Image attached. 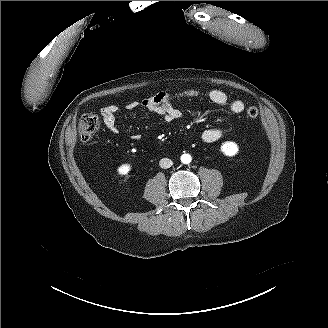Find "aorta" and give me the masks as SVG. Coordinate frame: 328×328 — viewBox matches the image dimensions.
Wrapping results in <instances>:
<instances>
[{"mask_svg":"<svg viewBox=\"0 0 328 328\" xmlns=\"http://www.w3.org/2000/svg\"><path fill=\"white\" fill-rule=\"evenodd\" d=\"M191 160H192V158H191V156L189 154H183L181 156V162L183 164H189L191 162Z\"/></svg>","mask_w":328,"mask_h":328,"instance_id":"aorta-1","label":"aorta"}]
</instances>
